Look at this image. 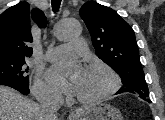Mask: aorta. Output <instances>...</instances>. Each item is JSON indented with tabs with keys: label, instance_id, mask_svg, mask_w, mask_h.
<instances>
[{
	"label": "aorta",
	"instance_id": "aorta-1",
	"mask_svg": "<svg viewBox=\"0 0 165 120\" xmlns=\"http://www.w3.org/2000/svg\"><path fill=\"white\" fill-rule=\"evenodd\" d=\"M80 23L75 19L65 20L57 30V37L60 39H69L80 34Z\"/></svg>",
	"mask_w": 165,
	"mask_h": 120
}]
</instances>
